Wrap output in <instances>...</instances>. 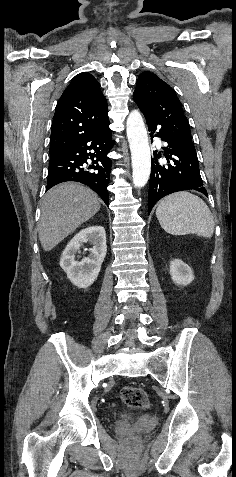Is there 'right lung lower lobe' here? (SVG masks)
<instances>
[{
	"label": "right lung lower lobe",
	"instance_id": "right-lung-lower-lobe-1",
	"mask_svg": "<svg viewBox=\"0 0 236 477\" xmlns=\"http://www.w3.org/2000/svg\"><path fill=\"white\" fill-rule=\"evenodd\" d=\"M112 147L111 130L107 123L63 155L50 159L46 191L65 181H77L89 186L108 205L107 186L112 163L107 155ZM88 160L92 161L91 165Z\"/></svg>",
	"mask_w": 236,
	"mask_h": 477
}]
</instances>
